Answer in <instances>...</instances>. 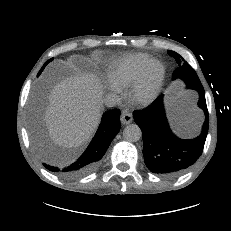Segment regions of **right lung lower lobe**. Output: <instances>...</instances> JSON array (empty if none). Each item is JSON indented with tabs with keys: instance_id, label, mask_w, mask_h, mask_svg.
<instances>
[{
	"instance_id": "right-lung-lower-lobe-1",
	"label": "right lung lower lobe",
	"mask_w": 231,
	"mask_h": 231,
	"mask_svg": "<svg viewBox=\"0 0 231 231\" xmlns=\"http://www.w3.org/2000/svg\"><path fill=\"white\" fill-rule=\"evenodd\" d=\"M120 110L113 109L103 114L98 131L86 151L73 163L63 167L44 166L62 176L75 178L94 171L111 141L120 130Z\"/></svg>"
}]
</instances>
